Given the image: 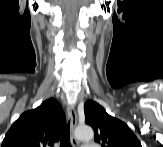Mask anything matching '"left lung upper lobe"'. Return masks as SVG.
<instances>
[{
    "label": "left lung upper lobe",
    "instance_id": "left-lung-upper-lobe-1",
    "mask_svg": "<svg viewBox=\"0 0 163 147\" xmlns=\"http://www.w3.org/2000/svg\"><path fill=\"white\" fill-rule=\"evenodd\" d=\"M84 112L86 123L95 131V142L102 147H142L128 125L110 116L97 102L87 101Z\"/></svg>",
    "mask_w": 163,
    "mask_h": 147
}]
</instances>
